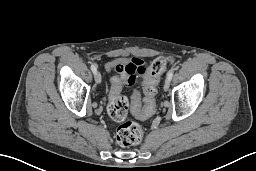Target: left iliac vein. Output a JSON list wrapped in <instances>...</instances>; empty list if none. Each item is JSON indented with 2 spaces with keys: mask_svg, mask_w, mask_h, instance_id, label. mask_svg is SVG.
I'll list each match as a JSON object with an SVG mask.
<instances>
[{
  "mask_svg": "<svg viewBox=\"0 0 256 171\" xmlns=\"http://www.w3.org/2000/svg\"><path fill=\"white\" fill-rule=\"evenodd\" d=\"M170 87V80L169 79H166L165 83H164V86H163V89L165 91H167Z\"/></svg>",
  "mask_w": 256,
  "mask_h": 171,
  "instance_id": "obj_1",
  "label": "left iliac vein"
}]
</instances>
